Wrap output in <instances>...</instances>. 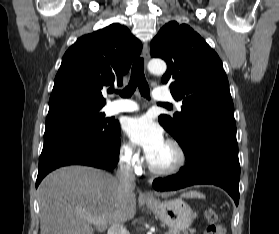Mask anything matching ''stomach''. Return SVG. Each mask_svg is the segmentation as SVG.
I'll return each instance as SVG.
<instances>
[{"mask_svg": "<svg viewBox=\"0 0 279 234\" xmlns=\"http://www.w3.org/2000/svg\"><path fill=\"white\" fill-rule=\"evenodd\" d=\"M146 205L172 231H185L192 224L194 213L182 199L159 201L145 200Z\"/></svg>", "mask_w": 279, "mask_h": 234, "instance_id": "stomach-1", "label": "stomach"}]
</instances>
